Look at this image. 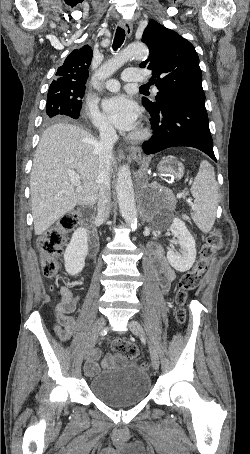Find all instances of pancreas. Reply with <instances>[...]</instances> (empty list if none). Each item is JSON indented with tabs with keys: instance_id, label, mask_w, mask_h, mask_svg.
<instances>
[{
	"instance_id": "1",
	"label": "pancreas",
	"mask_w": 250,
	"mask_h": 454,
	"mask_svg": "<svg viewBox=\"0 0 250 454\" xmlns=\"http://www.w3.org/2000/svg\"><path fill=\"white\" fill-rule=\"evenodd\" d=\"M169 200H170V202L168 203L169 207L174 209L175 208V204H176L175 198L172 195H170Z\"/></svg>"
}]
</instances>
